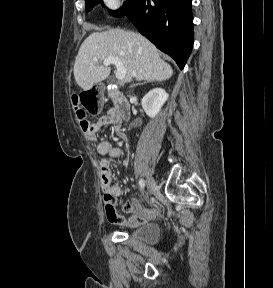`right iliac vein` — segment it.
Listing matches in <instances>:
<instances>
[{
  "label": "right iliac vein",
  "instance_id": "63e3f726",
  "mask_svg": "<svg viewBox=\"0 0 273 288\" xmlns=\"http://www.w3.org/2000/svg\"><path fill=\"white\" fill-rule=\"evenodd\" d=\"M147 190H148V195L153 194L156 190V183L152 177L148 178L147 180Z\"/></svg>",
  "mask_w": 273,
  "mask_h": 288
}]
</instances>
